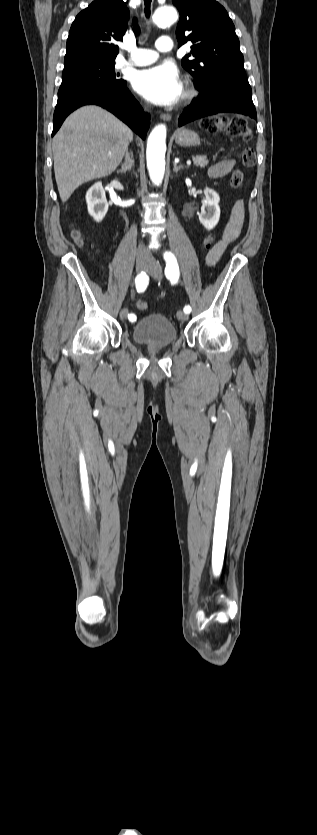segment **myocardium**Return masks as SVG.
I'll use <instances>...</instances> for the list:
<instances>
[{
	"mask_svg": "<svg viewBox=\"0 0 317 835\" xmlns=\"http://www.w3.org/2000/svg\"><path fill=\"white\" fill-rule=\"evenodd\" d=\"M197 95V91L192 84H188L184 90L182 99L184 103L192 101Z\"/></svg>",
	"mask_w": 317,
	"mask_h": 835,
	"instance_id": "1",
	"label": "myocardium"
}]
</instances>
